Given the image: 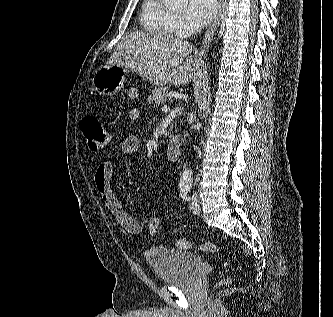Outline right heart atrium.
I'll use <instances>...</instances> for the list:
<instances>
[{
    "instance_id": "obj_1",
    "label": "right heart atrium",
    "mask_w": 333,
    "mask_h": 317,
    "mask_svg": "<svg viewBox=\"0 0 333 317\" xmlns=\"http://www.w3.org/2000/svg\"><path fill=\"white\" fill-rule=\"evenodd\" d=\"M175 30L179 35H186L193 31V27L184 17L175 16Z\"/></svg>"
}]
</instances>
